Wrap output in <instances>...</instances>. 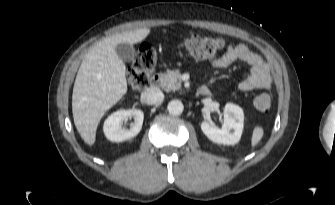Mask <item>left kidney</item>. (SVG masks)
<instances>
[{
	"label": "left kidney",
	"instance_id": "obj_1",
	"mask_svg": "<svg viewBox=\"0 0 335 205\" xmlns=\"http://www.w3.org/2000/svg\"><path fill=\"white\" fill-rule=\"evenodd\" d=\"M244 113L241 107L227 103L224 107V123L222 128L212 126L203 121L201 129L207 138L215 143L235 145L240 141L243 132Z\"/></svg>",
	"mask_w": 335,
	"mask_h": 205
}]
</instances>
